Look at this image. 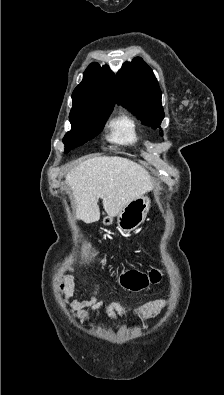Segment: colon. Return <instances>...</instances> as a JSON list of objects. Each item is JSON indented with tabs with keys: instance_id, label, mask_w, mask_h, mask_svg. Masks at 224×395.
Here are the masks:
<instances>
[{
	"instance_id": "1",
	"label": "colon",
	"mask_w": 224,
	"mask_h": 395,
	"mask_svg": "<svg viewBox=\"0 0 224 395\" xmlns=\"http://www.w3.org/2000/svg\"><path fill=\"white\" fill-rule=\"evenodd\" d=\"M85 246L93 256H97L98 253L90 243H85ZM161 277L162 271L159 269H153L147 275L135 270H129L123 274L124 285L131 291H140L149 284H156L160 281Z\"/></svg>"
}]
</instances>
